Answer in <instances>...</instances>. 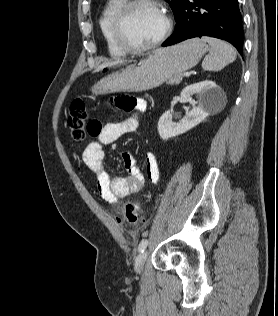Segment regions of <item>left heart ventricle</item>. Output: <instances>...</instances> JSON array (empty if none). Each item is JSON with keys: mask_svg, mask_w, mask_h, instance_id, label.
Masks as SVG:
<instances>
[{"mask_svg": "<svg viewBox=\"0 0 278 316\" xmlns=\"http://www.w3.org/2000/svg\"><path fill=\"white\" fill-rule=\"evenodd\" d=\"M163 28L161 14L148 4H141L132 9L124 25L127 39L136 46L151 43L161 34Z\"/></svg>", "mask_w": 278, "mask_h": 316, "instance_id": "obj_1", "label": "left heart ventricle"}]
</instances>
